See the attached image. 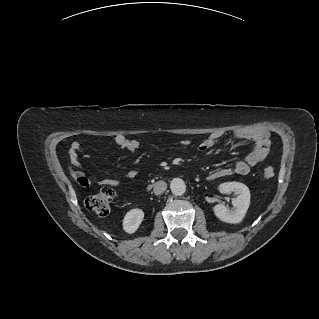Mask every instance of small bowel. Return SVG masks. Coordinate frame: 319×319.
Here are the masks:
<instances>
[{
    "label": "small bowel",
    "mask_w": 319,
    "mask_h": 319,
    "mask_svg": "<svg viewBox=\"0 0 319 319\" xmlns=\"http://www.w3.org/2000/svg\"><path fill=\"white\" fill-rule=\"evenodd\" d=\"M233 136L236 139H248L253 142L252 149L248 152L243 160L237 161L231 168H219L211 171L207 179L208 180H217L232 174L237 175H246L250 172L251 168L262 162L268 155V145H269V134L266 132L263 133H244L242 131H234ZM224 138V134L221 132H215L206 137L198 145V150L202 153H207L218 145ZM114 143L119 148L135 151L139 148L140 144L137 140L129 139L124 135H117L114 138ZM188 140H183L182 145H188ZM81 151V144L79 142L72 143L70 159L73 164L79 163V153ZM75 177L78 181H83L85 178L81 173L76 172ZM136 177V172L130 171L127 173L128 179H134ZM98 184L103 186H118L120 180L115 178H103L98 180Z\"/></svg>",
    "instance_id": "small-bowel-1"
}]
</instances>
